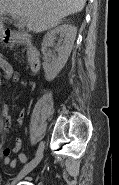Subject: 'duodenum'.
<instances>
[{"mask_svg": "<svg viewBox=\"0 0 119 185\" xmlns=\"http://www.w3.org/2000/svg\"><path fill=\"white\" fill-rule=\"evenodd\" d=\"M5 40L10 44H24L28 48V62L32 73L39 71L41 66L40 52L33 43L32 37L28 34L18 33L13 30L5 32Z\"/></svg>", "mask_w": 119, "mask_h": 185, "instance_id": "410a0bca", "label": "duodenum"}]
</instances>
